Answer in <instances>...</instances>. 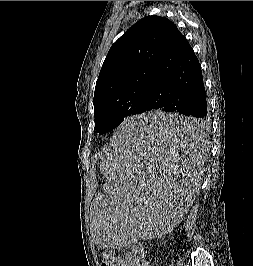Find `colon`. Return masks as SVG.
I'll return each mask as SVG.
<instances>
[{"instance_id":"colon-1","label":"colon","mask_w":253,"mask_h":266,"mask_svg":"<svg viewBox=\"0 0 253 266\" xmlns=\"http://www.w3.org/2000/svg\"><path fill=\"white\" fill-rule=\"evenodd\" d=\"M101 266H121V261L116 254L106 253Z\"/></svg>"}]
</instances>
